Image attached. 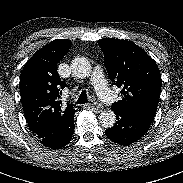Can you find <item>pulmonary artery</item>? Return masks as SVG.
Returning a JSON list of instances; mask_svg holds the SVG:
<instances>
[{
    "label": "pulmonary artery",
    "mask_w": 183,
    "mask_h": 183,
    "mask_svg": "<svg viewBox=\"0 0 183 183\" xmlns=\"http://www.w3.org/2000/svg\"><path fill=\"white\" fill-rule=\"evenodd\" d=\"M91 83L102 101L106 103H112L114 101V95L108 88L100 67H96L94 69L91 77Z\"/></svg>",
    "instance_id": "e3ab8cb5"
}]
</instances>
